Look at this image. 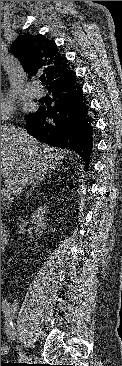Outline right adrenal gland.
Returning a JSON list of instances; mask_svg holds the SVG:
<instances>
[{"instance_id": "2a0ac1e0", "label": "right adrenal gland", "mask_w": 122, "mask_h": 366, "mask_svg": "<svg viewBox=\"0 0 122 366\" xmlns=\"http://www.w3.org/2000/svg\"><path fill=\"white\" fill-rule=\"evenodd\" d=\"M45 180V177L37 179L35 182H33L31 190L27 193L26 199H28L32 195V191H34L36 185H38L40 182H43Z\"/></svg>"}]
</instances>
